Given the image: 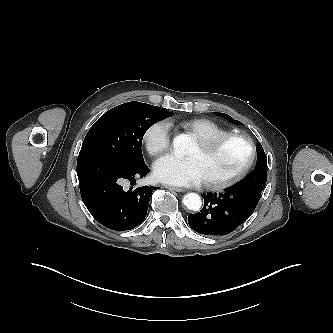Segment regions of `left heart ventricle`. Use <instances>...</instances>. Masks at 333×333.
Listing matches in <instances>:
<instances>
[{"mask_svg":"<svg viewBox=\"0 0 333 333\" xmlns=\"http://www.w3.org/2000/svg\"><path fill=\"white\" fill-rule=\"evenodd\" d=\"M246 148L239 141H228L220 147L205 152L197 143L187 153L198 163L203 180H221L237 171L246 159Z\"/></svg>","mask_w":333,"mask_h":333,"instance_id":"obj_1","label":"left heart ventricle"}]
</instances>
